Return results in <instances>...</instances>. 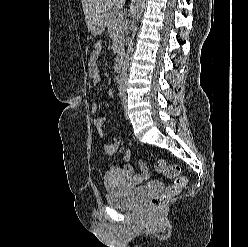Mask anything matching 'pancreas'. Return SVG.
I'll list each match as a JSON object with an SVG mask.
<instances>
[{
  "instance_id": "pancreas-1",
  "label": "pancreas",
  "mask_w": 248,
  "mask_h": 247,
  "mask_svg": "<svg viewBox=\"0 0 248 247\" xmlns=\"http://www.w3.org/2000/svg\"><path fill=\"white\" fill-rule=\"evenodd\" d=\"M108 32L116 43L117 51L120 52L124 45L125 21L114 12L106 13Z\"/></svg>"
}]
</instances>
